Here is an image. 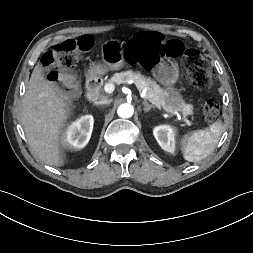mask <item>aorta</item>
I'll return each instance as SVG.
<instances>
[{"instance_id": "762f6f07", "label": "aorta", "mask_w": 253, "mask_h": 253, "mask_svg": "<svg viewBox=\"0 0 253 253\" xmlns=\"http://www.w3.org/2000/svg\"><path fill=\"white\" fill-rule=\"evenodd\" d=\"M117 113L122 118H129L133 115L134 109L132 105L125 103L119 106Z\"/></svg>"}]
</instances>
